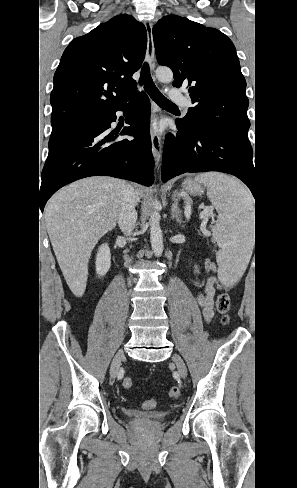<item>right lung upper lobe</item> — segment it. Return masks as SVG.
<instances>
[{"label": "right lung upper lobe", "instance_id": "obj_1", "mask_svg": "<svg viewBox=\"0 0 297 488\" xmlns=\"http://www.w3.org/2000/svg\"><path fill=\"white\" fill-rule=\"evenodd\" d=\"M146 45L144 25L126 14L72 40L54 75L52 133L100 118L128 101Z\"/></svg>", "mask_w": 297, "mask_h": 488}]
</instances>
